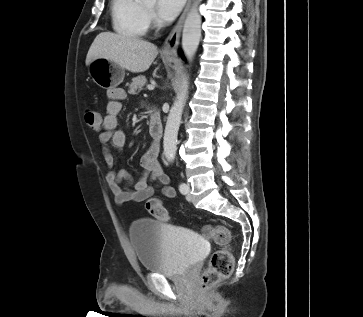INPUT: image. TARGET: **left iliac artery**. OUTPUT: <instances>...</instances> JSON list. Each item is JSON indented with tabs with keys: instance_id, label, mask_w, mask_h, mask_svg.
<instances>
[{
	"instance_id": "left-iliac-artery-1",
	"label": "left iliac artery",
	"mask_w": 363,
	"mask_h": 317,
	"mask_svg": "<svg viewBox=\"0 0 363 317\" xmlns=\"http://www.w3.org/2000/svg\"><path fill=\"white\" fill-rule=\"evenodd\" d=\"M179 191H180L182 194H186V192H187V186H186V184H185V183H181V184L179 185Z\"/></svg>"
}]
</instances>
